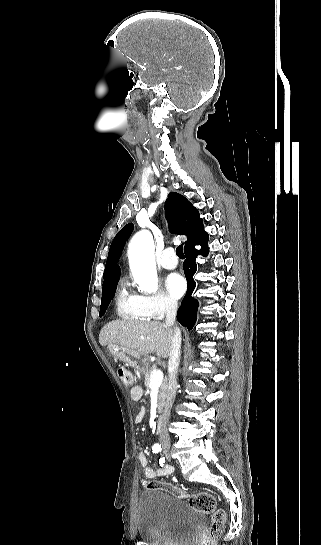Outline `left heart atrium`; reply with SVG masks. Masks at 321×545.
Returning <instances> with one entry per match:
<instances>
[{"label":"left heart atrium","mask_w":321,"mask_h":545,"mask_svg":"<svg viewBox=\"0 0 321 545\" xmlns=\"http://www.w3.org/2000/svg\"><path fill=\"white\" fill-rule=\"evenodd\" d=\"M164 287L169 296L178 298L184 293L186 282L178 273H170L165 278Z\"/></svg>","instance_id":"39dd6f15"}]
</instances>
